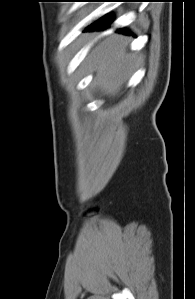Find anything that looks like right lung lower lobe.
Returning <instances> with one entry per match:
<instances>
[{
  "instance_id": "1",
  "label": "right lung lower lobe",
  "mask_w": 195,
  "mask_h": 299,
  "mask_svg": "<svg viewBox=\"0 0 195 299\" xmlns=\"http://www.w3.org/2000/svg\"><path fill=\"white\" fill-rule=\"evenodd\" d=\"M110 23H111V17L105 16V17H102V18L96 20L94 23H92L90 26H88L86 28V30L104 29V28L109 27ZM120 31H122L124 33H128V31L125 29H120Z\"/></svg>"
}]
</instances>
